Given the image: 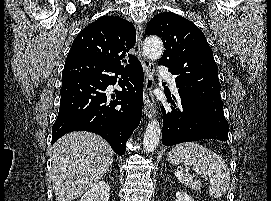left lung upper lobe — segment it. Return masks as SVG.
I'll return each instance as SVG.
<instances>
[{
  "instance_id": "left-lung-upper-lobe-1",
  "label": "left lung upper lobe",
  "mask_w": 271,
  "mask_h": 201,
  "mask_svg": "<svg viewBox=\"0 0 271 201\" xmlns=\"http://www.w3.org/2000/svg\"><path fill=\"white\" fill-rule=\"evenodd\" d=\"M146 34L162 39L165 51L159 65L168 67L177 76L179 95L201 110L213 135L228 140L229 126L223 113L218 67L203 32L191 21L163 12L149 21Z\"/></svg>"
}]
</instances>
